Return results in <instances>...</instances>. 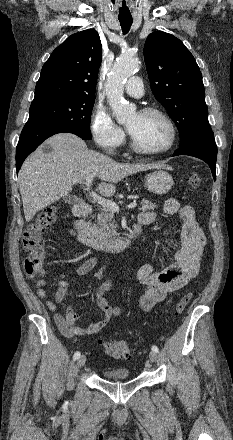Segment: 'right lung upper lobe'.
<instances>
[{"instance_id":"right-lung-upper-lobe-1","label":"right lung upper lobe","mask_w":233,"mask_h":440,"mask_svg":"<svg viewBox=\"0 0 233 440\" xmlns=\"http://www.w3.org/2000/svg\"><path fill=\"white\" fill-rule=\"evenodd\" d=\"M102 45L97 31L75 33L46 61L32 103L57 97L95 98Z\"/></svg>"}]
</instances>
